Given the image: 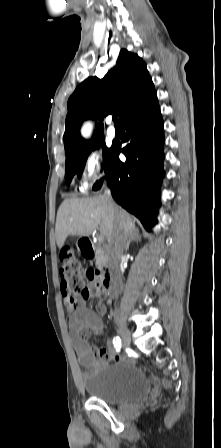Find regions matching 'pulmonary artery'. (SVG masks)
<instances>
[{"label": "pulmonary artery", "instance_id": "e3ab8cb5", "mask_svg": "<svg viewBox=\"0 0 221 448\" xmlns=\"http://www.w3.org/2000/svg\"><path fill=\"white\" fill-rule=\"evenodd\" d=\"M107 135L111 139L116 137V130L112 125H109V127L107 129Z\"/></svg>", "mask_w": 221, "mask_h": 448}]
</instances>
